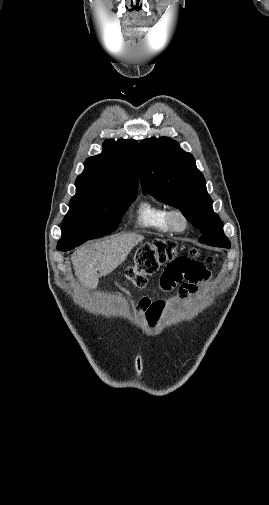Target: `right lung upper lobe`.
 Segmentation results:
<instances>
[{"instance_id":"1","label":"right lung upper lobe","mask_w":269,"mask_h":505,"mask_svg":"<svg viewBox=\"0 0 269 505\" xmlns=\"http://www.w3.org/2000/svg\"><path fill=\"white\" fill-rule=\"evenodd\" d=\"M76 179V195L137 194L139 156L136 140H106L101 154L86 159Z\"/></svg>"}]
</instances>
